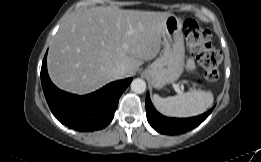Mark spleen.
Listing matches in <instances>:
<instances>
[{
  "instance_id": "spleen-1",
  "label": "spleen",
  "mask_w": 261,
  "mask_h": 162,
  "mask_svg": "<svg viewBox=\"0 0 261 162\" xmlns=\"http://www.w3.org/2000/svg\"><path fill=\"white\" fill-rule=\"evenodd\" d=\"M212 92L191 90L173 97L162 98L153 95L156 109L163 115L170 117H192L205 112L213 103Z\"/></svg>"
}]
</instances>
